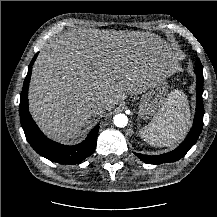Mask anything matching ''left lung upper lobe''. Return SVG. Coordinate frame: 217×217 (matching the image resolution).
<instances>
[{"instance_id": "5c2ea615", "label": "left lung upper lobe", "mask_w": 217, "mask_h": 217, "mask_svg": "<svg viewBox=\"0 0 217 217\" xmlns=\"http://www.w3.org/2000/svg\"><path fill=\"white\" fill-rule=\"evenodd\" d=\"M196 72H197L198 74H202V75H203L202 65H201V63L199 62V60H197Z\"/></svg>"}]
</instances>
